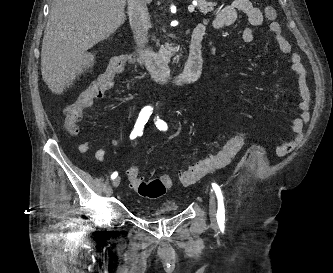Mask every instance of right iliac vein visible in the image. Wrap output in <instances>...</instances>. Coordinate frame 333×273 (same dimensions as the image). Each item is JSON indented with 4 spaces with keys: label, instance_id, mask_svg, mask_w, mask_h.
Returning <instances> with one entry per match:
<instances>
[{
    "label": "right iliac vein",
    "instance_id": "right-iliac-vein-1",
    "mask_svg": "<svg viewBox=\"0 0 333 273\" xmlns=\"http://www.w3.org/2000/svg\"><path fill=\"white\" fill-rule=\"evenodd\" d=\"M120 181H121V178H120V177L115 178V179L113 180V182H112L113 187H114V188H117V187L119 186V184H120Z\"/></svg>",
    "mask_w": 333,
    "mask_h": 273
}]
</instances>
